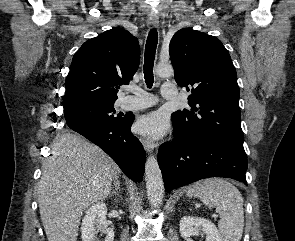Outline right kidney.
I'll list each match as a JSON object with an SVG mask.
<instances>
[{"label": "right kidney", "instance_id": "right-kidney-1", "mask_svg": "<svg viewBox=\"0 0 295 241\" xmlns=\"http://www.w3.org/2000/svg\"><path fill=\"white\" fill-rule=\"evenodd\" d=\"M106 214L107 207L106 204L102 202L92 205L86 211L81 226L82 241H97V231L106 235L104 241L114 240V230L108 228Z\"/></svg>", "mask_w": 295, "mask_h": 241}]
</instances>
